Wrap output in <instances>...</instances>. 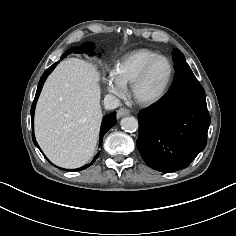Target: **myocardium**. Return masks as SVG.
Segmentation results:
<instances>
[{
	"label": "myocardium",
	"instance_id": "obj_1",
	"mask_svg": "<svg viewBox=\"0 0 236 236\" xmlns=\"http://www.w3.org/2000/svg\"><path fill=\"white\" fill-rule=\"evenodd\" d=\"M162 59L166 60L168 62V64H169V67H170L169 77H168V80H167L164 88L156 96H153V97L143 96L140 93V87H141L143 81L145 80L147 74L149 73V71L153 67V65L156 62H158L159 60H162ZM174 75H175V69H174V64L171 61V59L166 57V56H164V55L156 56L155 58L151 59L150 61H148L144 65V67L141 69L139 74L136 76V78L132 82V84H131V91H132V95H133L134 99L138 103H140L142 105H146V106L154 105V104H157V103L161 102L167 96V94H168V92H169V90H170V88L172 86V83H173V80H174Z\"/></svg>",
	"mask_w": 236,
	"mask_h": 236
}]
</instances>
